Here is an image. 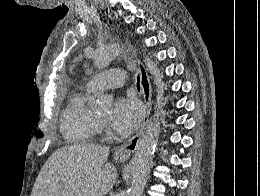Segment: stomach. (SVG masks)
Instances as JSON below:
<instances>
[{
    "instance_id": "1",
    "label": "stomach",
    "mask_w": 260,
    "mask_h": 196,
    "mask_svg": "<svg viewBox=\"0 0 260 196\" xmlns=\"http://www.w3.org/2000/svg\"><path fill=\"white\" fill-rule=\"evenodd\" d=\"M118 162H125V160H118Z\"/></svg>"
}]
</instances>
